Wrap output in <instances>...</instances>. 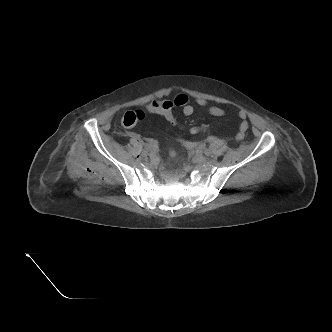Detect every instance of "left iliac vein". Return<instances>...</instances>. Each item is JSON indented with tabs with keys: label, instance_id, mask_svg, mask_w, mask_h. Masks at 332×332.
Listing matches in <instances>:
<instances>
[{
	"label": "left iliac vein",
	"instance_id": "left-iliac-vein-1",
	"mask_svg": "<svg viewBox=\"0 0 332 332\" xmlns=\"http://www.w3.org/2000/svg\"><path fill=\"white\" fill-rule=\"evenodd\" d=\"M194 160L196 161V162H198V163H203V162H205L206 161V157L205 156H203L202 154H195V156H194Z\"/></svg>",
	"mask_w": 332,
	"mask_h": 332
}]
</instances>
